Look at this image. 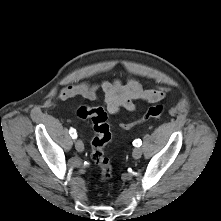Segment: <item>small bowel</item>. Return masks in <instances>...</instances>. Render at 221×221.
Masks as SVG:
<instances>
[{
    "label": "small bowel",
    "instance_id": "c3829d8e",
    "mask_svg": "<svg viewBox=\"0 0 221 221\" xmlns=\"http://www.w3.org/2000/svg\"><path fill=\"white\" fill-rule=\"evenodd\" d=\"M167 91V88L160 86L144 88L135 78L128 77L125 82L114 79L100 84L80 82L68 85L60 90L58 98L66 101L80 96L87 100H96L99 92H102L106 110L110 114H117L121 109L135 110V102L139 100L150 103L160 101Z\"/></svg>",
    "mask_w": 221,
    "mask_h": 221
}]
</instances>
